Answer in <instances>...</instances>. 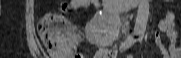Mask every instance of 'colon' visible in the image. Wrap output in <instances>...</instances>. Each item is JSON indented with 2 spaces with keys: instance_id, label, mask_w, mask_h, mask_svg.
I'll return each mask as SVG.
<instances>
[{
  "instance_id": "1",
  "label": "colon",
  "mask_w": 181,
  "mask_h": 58,
  "mask_svg": "<svg viewBox=\"0 0 181 58\" xmlns=\"http://www.w3.org/2000/svg\"><path fill=\"white\" fill-rule=\"evenodd\" d=\"M66 5L59 11H52L43 16L39 24V33L43 44L53 54L71 58H84L75 50L78 36L68 27L65 16Z\"/></svg>"
}]
</instances>
